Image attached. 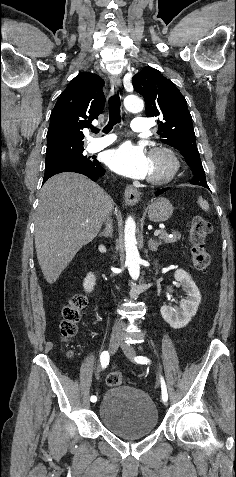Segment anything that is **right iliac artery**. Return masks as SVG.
Listing matches in <instances>:
<instances>
[{"label": "right iliac artery", "instance_id": "obj_1", "mask_svg": "<svg viewBox=\"0 0 236 477\" xmlns=\"http://www.w3.org/2000/svg\"><path fill=\"white\" fill-rule=\"evenodd\" d=\"M109 359H110V356L108 351H103L100 355V362L103 369L106 368L107 365L109 364ZM96 398H97L96 396H91L90 398L91 403L93 405H96L98 403V400Z\"/></svg>", "mask_w": 236, "mask_h": 477}]
</instances>
